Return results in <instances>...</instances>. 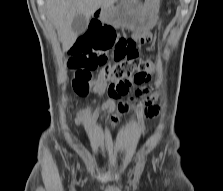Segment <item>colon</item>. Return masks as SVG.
Here are the masks:
<instances>
[{"instance_id": "5ec220e1", "label": "colon", "mask_w": 223, "mask_h": 191, "mask_svg": "<svg viewBox=\"0 0 223 191\" xmlns=\"http://www.w3.org/2000/svg\"><path fill=\"white\" fill-rule=\"evenodd\" d=\"M108 51L112 52L113 64H106ZM69 54V66L77 70L73 87L80 96L89 93L91 72L98 67L101 68L99 81L110 84L125 83L131 77L135 84H141L154 70L151 61L139 58L135 40L117 36L109 25L93 26L75 41Z\"/></svg>"}]
</instances>
